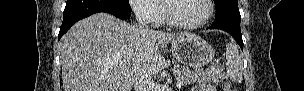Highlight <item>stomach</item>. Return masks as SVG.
I'll list each match as a JSON object with an SVG mask.
<instances>
[{"instance_id": "obj_1", "label": "stomach", "mask_w": 304, "mask_h": 91, "mask_svg": "<svg viewBox=\"0 0 304 91\" xmlns=\"http://www.w3.org/2000/svg\"><path fill=\"white\" fill-rule=\"evenodd\" d=\"M174 58L185 66L200 69L211 62L215 50L203 39L192 36L172 42L170 48Z\"/></svg>"}]
</instances>
